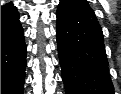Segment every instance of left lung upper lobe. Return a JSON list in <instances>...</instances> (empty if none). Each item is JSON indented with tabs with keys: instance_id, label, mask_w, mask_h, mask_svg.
Returning a JSON list of instances; mask_svg holds the SVG:
<instances>
[{
	"instance_id": "obj_1",
	"label": "left lung upper lobe",
	"mask_w": 121,
	"mask_h": 94,
	"mask_svg": "<svg viewBox=\"0 0 121 94\" xmlns=\"http://www.w3.org/2000/svg\"><path fill=\"white\" fill-rule=\"evenodd\" d=\"M66 8L81 16L96 19V16L86 0H60Z\"/></svg>"
}]
</instances>
